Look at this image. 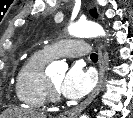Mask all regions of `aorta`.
I'll list each match as a JSON object with an SVG mask.
<instances>
[{
  "label": "aorta",
  "instance_id": "1",
  "mask_svg": "<svg viewBox=\"0 0 133 118\" xmlns=\"http://www.w3.org/2000/svg\"><path fill=\"white\" fill-rule=\"evenodd\" d=\"M69 33L72 36L80 38L105 36L104 29L99 24L94 22H83V23L72 24L69 27ZM67 68L68 67L65 63L55 61L48 66L47 71L52 74L60 71L65 72ZM81 118H89V116L83 114Z\"/></svg>",
  "mask_w": 133,
  "mask_h": 118
}]
</instances>
